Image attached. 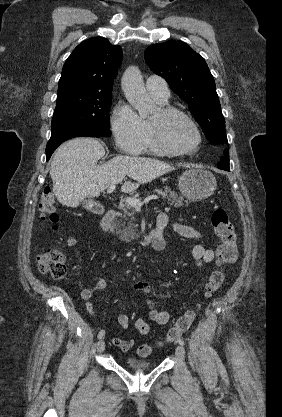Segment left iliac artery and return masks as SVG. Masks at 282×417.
<instances>
[{"label":"left iliac artery","mask_w":282,"mask_h":417,"mask_svg":"<svg viewBox=\"0 0 282 417\" xmlns=\"http://www.w3.org/2000/svg\"><path fill=\"white\" fill-rule=\"evenodd\" d=\"M178 343L180 344V345H184L185 343H184V341L182 340V339H178Z\"/></svg>","instance_id":"obj_1"}]
</instances>
